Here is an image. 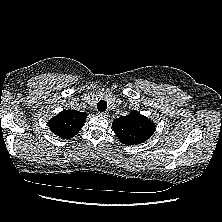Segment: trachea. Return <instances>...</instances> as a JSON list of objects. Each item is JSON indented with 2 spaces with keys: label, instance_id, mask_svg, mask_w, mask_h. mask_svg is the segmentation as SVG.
I'll use <instances>...</instances> for the list:
<instances>
[{
  "label": "trachea",
  "instance_id": "3493384b",
  "mask_svg": "<svg viewBox=\"0 0 222 222\" xmlns=\"http://www.w3.org/2000/svg\"><path fill=\"white\" fill-rule=\"evenodd\" d=\"M97 109L100 112H104L107 109V102L105 100H100L97 104Z\"/></svg>",
  "mask_w": 222,
  "mask_h": 222
}]
</instances>
